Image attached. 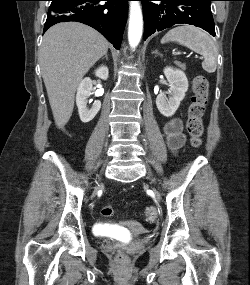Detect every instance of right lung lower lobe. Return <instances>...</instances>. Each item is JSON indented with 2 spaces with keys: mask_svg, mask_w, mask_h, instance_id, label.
<instances>
[{
  "mask_svg": "<svg viewBox=\"0 0 250 285\" xmlns=\"http://www.w3.org/2000/svg\"><path fill=\"white\" fill-rule=\"evenodd\" d=\"M57 0L49 7L44 32L59 22L77 21L87 24L119 50L127 20L129 0Z\"/></svg>",
  "mask_w": 250,
  "mask_h": 285,
  "instance_id": "obj_1",
  "label": "right lung lower lobe"
}]
</instances>
